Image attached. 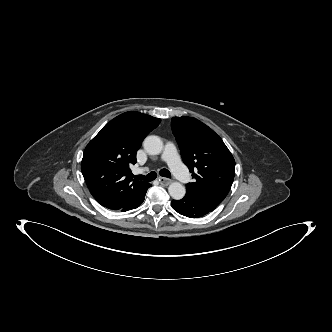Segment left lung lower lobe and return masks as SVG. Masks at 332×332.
<instances>
[{
    "instance_id": "left-lung-lower-lobe-1",
    "label": "left lung lower lobe",
    "mask_w": 332,
    "mask_h": 332,
    "mask_svg": "<svg viewBox=\"0 0 332 332\" xmlns=\"http://www.w3.org/2000/svg\"><path fill=\"white\" fill-rule=\"evenodd\" d=\"M171 204L179 214L190 218L202 217L215 209L189 193L181 200H172Z\"/></svg>"
}]
</instances>
